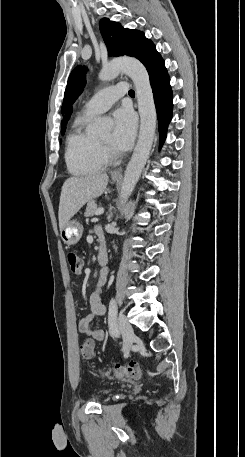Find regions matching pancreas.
Returning <instances> with one entry per match:
<instances>
[{"instance_id": "pancreas-1", "label": "pancreas", "mask_w": 245, "mask_h": 457, "mask_svg": "<svg viewBox=\"0 0 245 457\" xmlns=\"http://www.w3.org/2000/svg\"><path fill=\"white\" fill-rule=\"evenodd\" d=\"M96 210H97V204H96L95 200H89V202H87L86 212H84V216H93V214H95Z\"/></svg>"}]
</instances>
